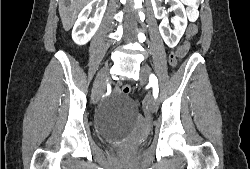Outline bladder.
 <instances>
[{
    "label": "bladder",
    "instance_id": "bladder-1",
    "mask_svg": "<svg viewBox=\"0 0 250 169\" xmlns=\"http://www.w3.org/2000/svg\"><path fill=\"white\" fill-rule=\"evenodd\" d=\"M97 136H98V133H97ZM97 140H98V137H97ZM99 142V140H98ZM100 143V142H99ZM101 144V143H100ZM102 146H105V147H110V148H113V149H117V148H120L122 147L123 145H102Z\"/></svg>",
    "mask_w": 250,
    "mask_h": 169
}]
</instances>
